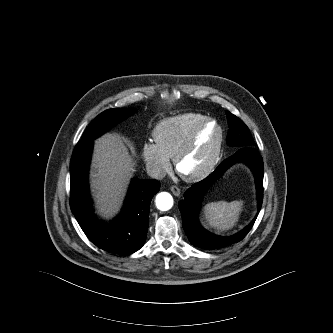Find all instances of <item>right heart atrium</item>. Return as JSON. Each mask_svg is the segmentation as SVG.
Returning <instances> with one entry per match:
<instances>
[{
  "instance_id": "right-heart-atrium-1",
  "label": "right heart atrium",
  "mask_w": 333,
  "mask_h": 333,
  "mask_svg": "<svg viewBox=\"0 0 333 333\" xmlns=\"http://www.w3.org/2000/svg\"><path fill=\"white\" fill-rule=\"evenodd\" d=\"M142 156L149 172L155 177H162L171 168L170 159L165 156L152 142H146L142 146Z\"/></svg>"
}]
</instances>
